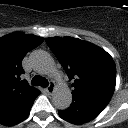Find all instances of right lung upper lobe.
Masks as SVG:
<instances>
[{"instance_id": "1", "label": "right lung upper lobe", "mask_w": 128, "mask_h": 128, "mask_svg": "<svg viewBox=\"0 0 128 128\" xmlns=\"http://www.w3.org/2000/svg\"><path fill=\"white\" fill-rule=\"evenodd\" d=\"M43 40L42 37L22 32L0 38V114L35 92L36 89L30 87L26 80H20L21 74H24L22 60Z\"/></svg>"}]
</instances>
